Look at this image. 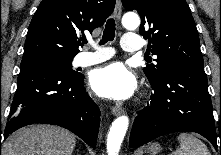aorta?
Instances as JSON below:
<instances>
[{
    "label": "aorta",
    "mask_w": 221,
    "mask_h": 155,
    "mask_svg": "<svg viewBox=\"0 0 221 155\" xmlns=\"http://www.w3.org/2000/svg\"><path fill=\"white\" fill-rule=\"evenodd\" d=\"M122 23L126 29L133 30L140 25V19L136 14H127L123 17ZM128 125L129 118L125 115L119 116L113 121L107 137L108 155H118Z\"/></svg>",
    "instance_id": "762f6f07"
}]
</instances>
